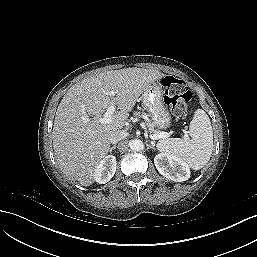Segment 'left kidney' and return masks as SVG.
<instances>
[{"mask_svg": "<svg viewBox=\"0 0 257 257\" xmlns=\"http://www.w3.org/2000/svg\"><path fill=\"white\" fill-rule=\"evenodd\" d=\"M154 164L158 172L175 182H183L190 178L188 165L173 155L158 154L154 158Z\"/></svg>", "mask_w": 257, "mask_h": 257, "instance_id": "5707ae66", "label": "left kidney"}]
</instances>
